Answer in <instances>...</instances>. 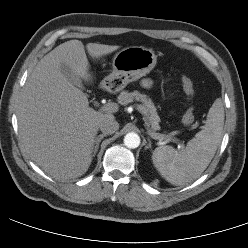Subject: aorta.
<instances>
[{
	"label": "aorta",
	"instance_id": "aorta-1",
	"mask_svg": "<svg viewBox=\"0 0 248 248\" xmlns=\"http://www.w3.org/2000/svg\"><path fill=\"white\" fill-rule=\"evenodd\" d=\"M124 144L130 149H135L140 145V137L134 132L127 133L124 137Z\"/></svg>",
	"mask_w": 248,
	"mask_h": 248
}]
</instances>
